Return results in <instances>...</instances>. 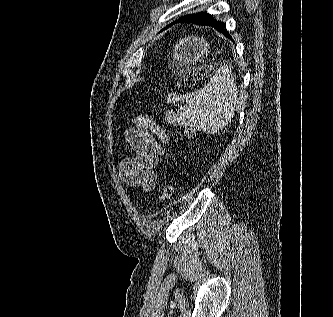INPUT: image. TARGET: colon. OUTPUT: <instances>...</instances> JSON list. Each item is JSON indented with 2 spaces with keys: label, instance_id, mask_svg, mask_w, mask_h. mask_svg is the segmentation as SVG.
<instances>
[{
  "label": "colon",
  "instance_id": "5ec220e1",
  "mask_svg": "<svg viewBox=\"0 0 333 317\" xmlns=\"http://www.w3.org/2000/svg\"><path fill=\"white\" fill-rule=\"evenodd\" d=\"M184 136L191 137L194 134V129L192 127H186L183 131ZM174 193V187L170 182H164L161 186L159 195H158V202L163 203L168 201Z\"/></svg>",
  "mask_w": 333,
  "mask_h": 317
}]
</instances>
